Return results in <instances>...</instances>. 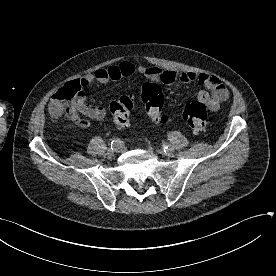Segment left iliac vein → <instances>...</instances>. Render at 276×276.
I'll return each instance as SVG.
<instances>
[{"label": "left iliac vein", "instance_id": "obj_1", "mask_svg": "<svg viewBox=\"0 0 276 276\" xmlns=\"http://www.w3.org/2000/svg\"><path fill=\"white\" fill-rule=\"evenodd\" d=\"M162 153H164L165 155H167L168 157H172L174 155V151L173 149H170L168 151H161Z\"/></svg>", "mask_w": 276, "mask_h": 276}]
</instances>
